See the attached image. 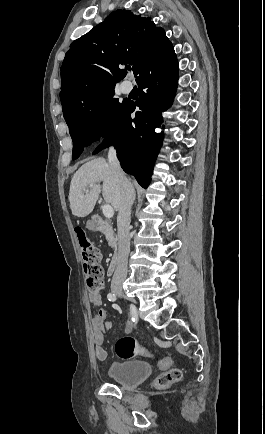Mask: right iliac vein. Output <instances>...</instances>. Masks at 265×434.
I'll return each mask as SVG.
<instances>
[{
	"label": "right iliac vein",
	"instance_id": "63e3f726",
	"mask_svg": "<svg viewBox=\"0 0 265 434\" xmlns=\"http://www.w3.org/2000/svg\"><path fill=\"white\" fill-rule=\"evenodd\" d=\"M112 290L115 293H118V294H122L124 292V290H123V288L121 286H115V287L112 288Z\"/></svg>",
	"mask_w": 265,
	"mask_h": 434
}]
</instances>
